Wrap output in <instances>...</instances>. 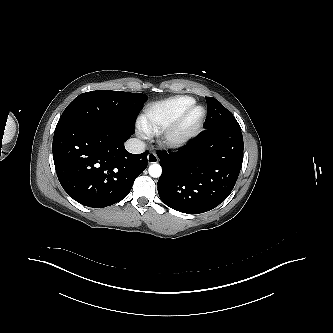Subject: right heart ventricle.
Segmentation results:
<instances>
[{
  "mask_svg": "<svg viewBox=\"0 0 333 333\" xmlns=\"http://www.w3.org/2000/svg\"><path fill=\"white\" fill-rule=\"evenodd\" d=\"M188 96H175L150 104L140 118L141 129L147 134H156L168 128L191 104Z\"/></svg>",
  "mask_w": 333,
  "mask_h": 333,
  "instance_id": "right-heart-ventricle-1",
  "label": "right heart ventricle"
}]
</instances>
